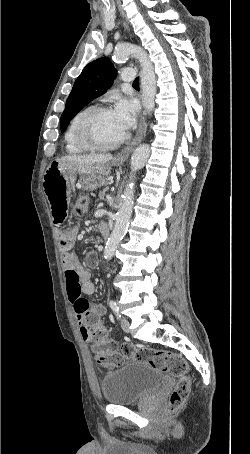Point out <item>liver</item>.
Wrapping results in <instances>:
<instances>
[{"mask_svg":"<svg viewBox=\"0 0 250 454\" xmlns=\"http://www.w3.org/2000/svg\"><path fill=\"white\" fill-rule=\"evenodd\" d=\"M113 159L111 154H84V155H67L60 158V162L75 166H90L96 164H106Z\"/></svg>","mask_w":250,"mask_h":454,"instance_id":"liver-1","label":"liver"}]
</instances>
